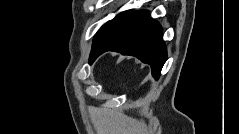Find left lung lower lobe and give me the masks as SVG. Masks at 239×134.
Wrapping results in <instances>:
<instances>
[{
  "mask_svg": "<svg viewBox=\"0 0 239 134\" xmlns=\"http://www.w3.org/2000/svg\"><path fill=\"white\" fill-rule=\"evenodd\" d=\"M106 51L137 57L151 66L155 78L160 76L167 56L162 28L147 11H124L107 22L94 37L89 63Z\"/></svg>",
  "mask_w": 239,
  "mask_h": 134,
  "instance_id": "1",
  "label": "left lung lower lobe"
}]
</instances>
